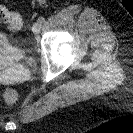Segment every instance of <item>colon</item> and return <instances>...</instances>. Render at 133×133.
I'll use <instances>...</instances> for the list:
<instances>
[{"label": "colon", "instance_id": "1", "mask_svg": "<svg viewBox=\"0 0 133 133\" xmlns=\"http://www.w3.org/2000/svg\"><path fill=\"white\" fill-rule=\"evenodd\" d=\"M0 21L6 22L11 30H17L22 25V19L16 12H12L6 7L0 5ZM17 99V95L12 90H6L3 93V101L6 104H13Z\"/></svg>", "mask_w": 133, "mask_h": 133}]
</instances>
